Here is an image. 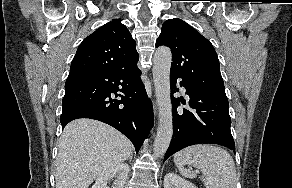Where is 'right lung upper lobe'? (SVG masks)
Returning <instances> with one entry per match:
<instances>
[{
	"label": "right lung upper lobe",
	"mask_w": 292,
	"mask_h": 188,
	"mask_svg": "<svg viewBox=\"0 0 292 188\" xmlns=\"http://www.w3.org/2000/svg\"><path fill=\"white\" fill-rule=\"evenodd\" d=\"M120 21L114 19L106 23L83 40L70 72L128 70L137 66L136 43Z\"/></svg>",
	"instance_id": "cb5924a9"
}]
</instances>
